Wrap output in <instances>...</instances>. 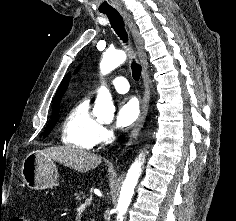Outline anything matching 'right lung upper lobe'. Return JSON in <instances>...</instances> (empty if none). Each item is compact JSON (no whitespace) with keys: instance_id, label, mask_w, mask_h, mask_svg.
<instances>
[{"instance_id":"right-lung-upper-lobe-1","label":"right lung upper lobe","mask_w":236,"mask_h":221,"mask_svg":"<svg viewBox=\"0 0 236 221\" xmlns=\"http://www.w3.org/2000/svg\"><path fill=\"white\" fill-rule=\"evenodd\" d=\"M69 80H70V73H68L64 77L59 89L57 90L55 97H54L53 106L59 105L60 100H61L62 96L64 95V92L68 86Z\"/></svg>"}]
</instances>
